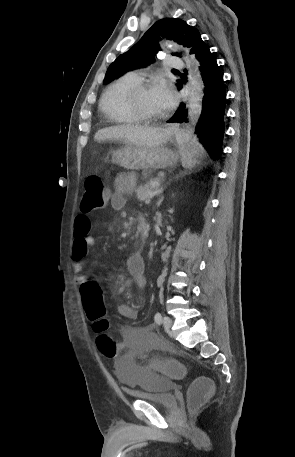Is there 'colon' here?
<instances>
[{"instance_id":"obj_1","label":"colon","mask_w":295,"mask_h":457,"mask_svg":"<svg viewBox=\"0 0 295 457\" xmlns=\"http://www.w3.org/2000/svg\"><path fill=\"white\" fill-rule=\"evenodd\" d=\"M108 193L103 180L98 174H91L85 180L84 195L81 202V210L85 213L92 212L105 206ZM83 304L86 314L93 322L95 340L98 346V354L105 355L108 360H123L124 352L122 344L113 342L109 333V322L106 318V310L102 301V277H93L82 286ZM140 357V353L136 354ZM136 357V358H137ZM159 372H166L168 378H189L191 372L184 369L182 363H159ZM209 374H202L200 379L193 382L188 391V404L191 409L200 406L213 391V384Z\"/></svg>"}]
</instances>
